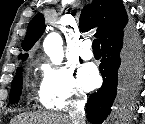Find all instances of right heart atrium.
<instances>
[{
	"label": "right heart atrium",
	"mask_w": 145,
	"mask_h": 124,
	"mask_svg": "<svg viewBox=\"0 0 145 124\" xmlns=\"http://www.w3.org/2000/svg\"><path fill=\"white\" fill-rule=\"evenodd\" d=\"M42 72L41 95L53 109L66 110L83 102L85 94L72 70L44 64Z\"/></svg>",
	"instance_id": "obj_1"
}]
</instances>
